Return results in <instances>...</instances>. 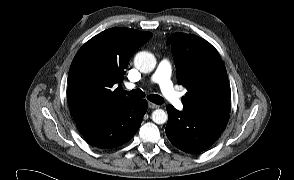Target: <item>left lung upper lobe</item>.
Returning <instances> with one entry per match:
<instances>
[{
	"label": "left lung upper lobe",
	"instance_id": "obj_1",
	"mask_svg": "<svg viewBox=\"0 0 294 180\" xmlns=\"http://www.w3.org/2000/svg\"><path fill=\"white\" fill-rule=\"evenodd\" d=\"M174 54L178 84L188 90L183 110L192 113L229 115L230 89L225 65L206 40L174 33L168 40Z\"/></svg>",
	"mask_w": 294,
	"mask_h": 180
}]
</instances>
